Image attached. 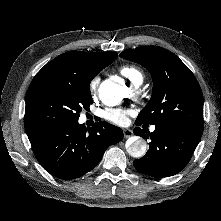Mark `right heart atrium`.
I'll return each mask as SVG.
<instances>
[{"mask_svg":"<svg viewBox=\"0 0 221 221\" xmlns=\"http://www.w3.org/2000/svg\"><path fill=\"white\" fill-rule=\"evenodd\" d=\"M100 83V77L98 75L94 76L89 82V90L91 93H95L98 89Z\"/></svg>","mask_w":221,"mask_h":221,"instance_id":"obj_1","label":"right heart atrium"}]
</instances>
